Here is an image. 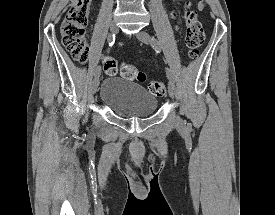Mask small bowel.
<instances>
[{"mask_svg":"<svg viewBox=\"0 0 275 215\" xmlns=\"http://www.w3.org/2000/svg\"><path fill=\"white\" fill-rule=\"evenodd\" d=\"M197 4H198V8H200V9L203 8V2L199 1ZM175 16H176L175 13H172V14H171V17H172V18H175ZM177 28H179V26H177ZM118 45L121 46V45H123V43L120 42Z\"/></svg>","mask_w":275,"mask_h":215,"instance_id":"small-bowel-1","label":"small bowel"}]
</instances>
